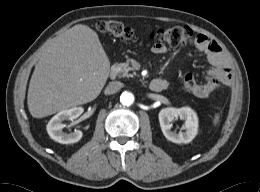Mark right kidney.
Here are the masks:
<instances>
[{
    "instance_id": "1",
    "label": "right kidney",
    "mask_w": 260,
    "mask_h": 192,
    "mask_svg": "<svg viewBox=\"0 0 260 192\" xmlns=\"http://www.w3.org/2000/svg\"><path fill=\"white\" fill-rule=\"evenodd\" d=\"M83 111L84 109L82 107H73L57 113L47 124V132L49 136L61 144L78 142L82 138V132L80 130H75L70 134L63 133L62 129L65 125L62 122L78 118Z\"/></svg>"
}]
</instances>
